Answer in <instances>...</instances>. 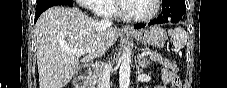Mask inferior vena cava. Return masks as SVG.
<instances>
[{"label": "inferior vena cava", "instance_id": "inferior-vena-cava-1", "mask_svg": "<svg viewBox=\"0 0 227 88\" xmlns=\"http://www.w3.org/2000/svg\"><path fill=\"white\" fill-rule=\"evenodd\" d=\"M111 25H112V21L109 19L104 18L99 21V27L103 30H106L107 28L111 27ZM107 49L108 48H106V50ZM98 88H110V86H109V66L107 64L104 66L102 72L99 75Z\"/></svg>", "mask_w": 227, "mask_h": 88}]
</instances>
